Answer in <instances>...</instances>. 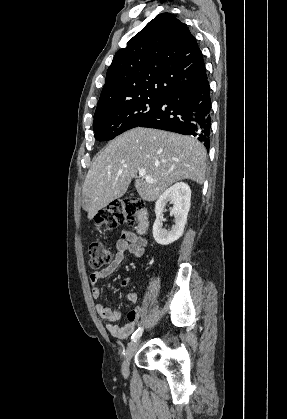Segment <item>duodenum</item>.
Returning <instances> with one entry per match:
<instances>
[{"label": "duodenum", "instance_id": "410a0bca", "mask_svg": "<svg viewBox=\"0 0 287 419\" xmlns=\"http://www.w3.org/2000/svg\"><path fill=\"white\" fill-rule=\"evenodd\" d=\"M137 230L140 233H145L147 230V221H146V215L144 211H140L138 214Z\"/></svg>", "mask_w": 287, "mask_h": 419}]
</instances>
